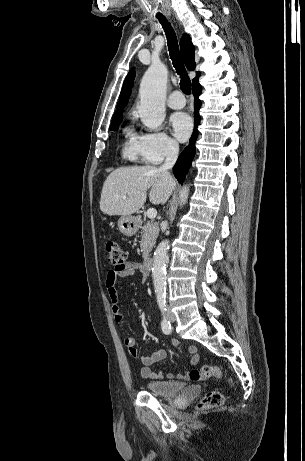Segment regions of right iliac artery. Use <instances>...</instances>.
<instances>
[{"label":"right iliac artery","instance_id":"1","mask_svg":"<svg viewBox=\"0 0 305 461\" xmlns=\"http://www.w3.org/2000/svg\"><path fill=\"white\" fill-rule=\"evenodd\" d=\"M158 305H159V308L161 309V312H162V315H163V319H162V322H161V327H162V331L163 333L165 334H170L171 333V324H170V321L168 320V318L166 317V300L164 297H158Z\"/></svg>","mask_w":305,"mask_h":461}]
</instances>
